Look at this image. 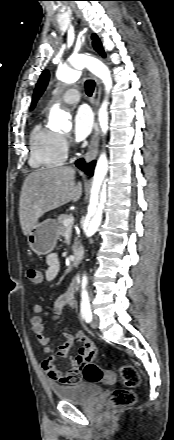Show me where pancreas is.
<instances>
[{"instance_id":"cf45deb5","label":"pancreas","mask_w":174,"mask_h":440,"mask_svg":"<svg viewBox=\"0 0 174 440\" xmlns=\"http://www.w3.org/2000/svg\"><path fill=\"white\" fill-rule=\"evenodd\" d=\"M69 217H70V215H68V214H62V215L58 216V218H57L59 234L62 236H64L68 230V227L63 225V221ZM71 227H72V225L69 228H71Z\"/></svg>"}]
</instances>
